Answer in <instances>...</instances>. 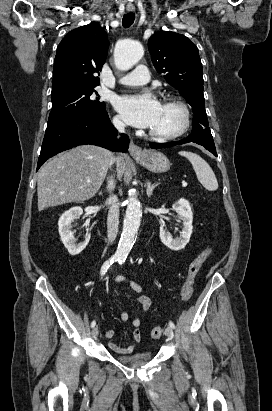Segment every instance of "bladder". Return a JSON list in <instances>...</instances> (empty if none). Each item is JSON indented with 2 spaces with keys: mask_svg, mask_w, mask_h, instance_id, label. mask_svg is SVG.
Listing matches in <instances>:
<instances>
[{
  "mask_svg": "<svg viewBox=\"0 0 272 411\" xmlns=\"http://www.w3.org/2000/svg\"><path fill=\"white\" fill-rule=\"evenodd\" d=\"M152 354L150 352L133 353L129 355H117L116 359L129 366L143 365L150 361Z\"/></svg>",
  "mask_w": 272,
  "mask_h": 411,
  "instance_id": "31cf9c89",
  "label": "bladder"
}]
</instances>
